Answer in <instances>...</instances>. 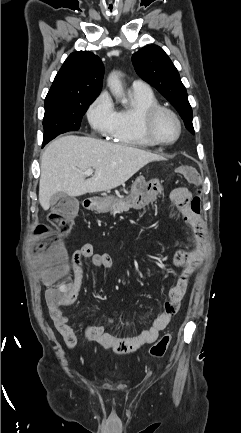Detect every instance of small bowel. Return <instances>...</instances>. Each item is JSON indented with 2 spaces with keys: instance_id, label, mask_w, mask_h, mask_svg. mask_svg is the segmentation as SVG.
I'll use <instances>...</instances> for the list:
<instances>
[{
  "instance_id": "small-bowel-1",
  "label": "small bowel",
  "mask_w": 241,
  "mask_h": 433,
  "mask_svg": "<svg viewBox=\"0 0 241 433\" xmlns=\"http://www.w3.org/2000/svg\"><path fill=\"white\" fill-rule=\"evenodd\" d=\"M193 199L192 193L184 187L175 189L171 194L172 202L185 222L190 226L194 238V244L190 251H177L173 256V264L182 268L179 279L181 277L188 279L200 267L207 251L204 223L199 215L200 210L194 211L192 209ZM84 258H90L95 268H112L110 256L107 254H94L93 247L90 244L80 246L71 255L70 262L75 282L70 296L56 306H49V313L57 331L62 336L65 344L71 349L76 346L78 338L62 308L72 305L77 298L83 280L82 259ZM179 279L168 291L169 298L164 302L163 312L153 320L148 328L133 335L120 337L106 332L103 325H87L83 329V336L88 340L95 341L104 349L119 353H134L145 344L153 343L158 338L159 332L169 324L180 308L187 286L180 288ZM113 341L125 342L127 346L122 350H115L110 345V342Z\"/></svg>"
}]
</instances>
